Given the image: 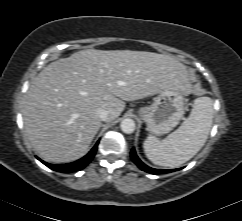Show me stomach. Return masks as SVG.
Wrapping results in <instances>:
<instances>
[{"label":"stomach","mask_w":242,"mask_h":221,"mask_svg":"<svg viewBox=\"0 0 242 221\" xmlns=\"http://www.w3.org/2000/svg\"><path fill=\"white\" fill-rule=\"evenodd\" d=\"M185 109L184 94L180 91L165 89L153 98L149 106L138 110L139 116L147 125V130L157 136L176 127Z\"/></svg>","instance_id":"obj_1"}]
</instances>
